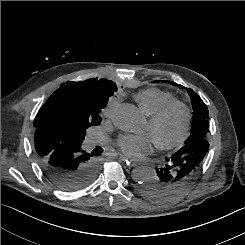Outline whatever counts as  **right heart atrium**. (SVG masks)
<instances>
[{
    "label": "right heart atrium",
    "instance_id": "1",
    "mask_svg": "<svg viewBox=\"0 0 245 245\" xmlns=\"http://www.w3.org/2000/svg\"><path fill=\"white\" fill-rule=\"evenodd\" d=\"M117 105H118V99L115 98V97L111 98L108 101L107 106L105 108V111H104L105 115L108 116V117L112 116V114H113L114 110L116 109Z\"/></svg>",
    "mask_w": 245,
    "mask_h": 245
}]
</instances>
